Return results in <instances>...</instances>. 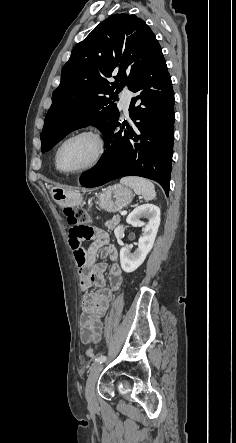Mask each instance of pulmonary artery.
<instances>
[{
	"instance_id": "pulmonary-artery-1",
	"label": "pulmonary artery",
	"mask_w": 236,
	"mask_h": 443,
	"mask_svg": "<svg viewBox=\"0 0 236 443\" xmlns=\"http://www.w3.org/2000/svg\"><path fill=\"white\" fill-rule=\"evenodd\" d=\"M131 98H132V93L129 91H125L121 95L120 107L124 110L125 113L128 112Z\"/></svg>"
}]
</instances>
